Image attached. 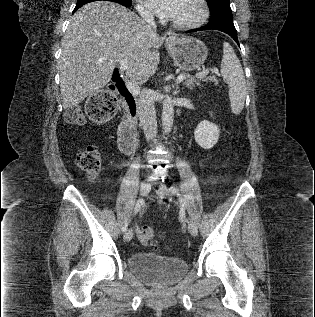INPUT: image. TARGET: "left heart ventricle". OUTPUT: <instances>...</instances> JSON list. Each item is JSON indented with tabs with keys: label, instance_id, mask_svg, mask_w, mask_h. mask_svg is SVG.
Masks as SVG:
<instances>
[{
	"label": "left heart ventricle",
	"instance_id": "obj_1",
	"mask_svg": "<svg viewBox=\"0 0 315 317\" xmlns=\"http://www.w3.org/2000/svg\"><path fill=\"white\" fill-rule=\"evenodd\" d=\"M200 14V7L197 0H181L179 7L171 18L177 22H190L195 20Z\"/></svg>",
	"mask_w": 315,
	"mask_h": 317
}]
</instances>
